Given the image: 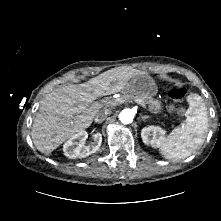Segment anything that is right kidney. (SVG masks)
Returning <instances> with one entry per match:
<instances>
[{
	"mask_svg": "<svg viewBox=\"0 0 221 221\" xmlns=\"http://www.w3.org/2000/svg\"><path fill=\"white\" fill-rule=\"evenodd\" d=\"M94 141L91 146H85L84 143L88 138L86 131H80L73 135L64 145L63 151L64 155L68 158H85L92 153H95L101 146L102 135L100 133H95L93 135Z\"/></svg>",
	"mask_w": 221,
	"mask_h": 221,
	"instance_id": "right-kidney-1",
	"label": "right kidney"
}]
</instances>
